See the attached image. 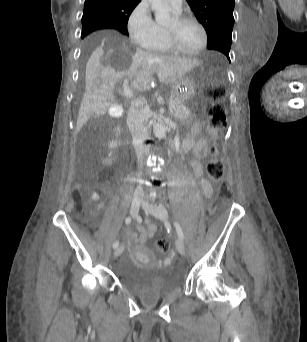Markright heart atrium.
I'll use <instances>...</instances> for the list:
<instances>
[{
  "mask_svg": "<svg viewBox=\"0 0 307 342\" xmlns=\"http://www.w3.org/2000/svg\"><path fill=\"white\" fill-rule=\"evenodd\" d=\"M127 32L130 41L139 46H148L161 38V32L154 23L150 12L138 5L127 18Z\"/></svg>",
  "mask_w": 307,
  "mask_h": 342,
  "instance_id": "1",
  "label": "right heart atrium"
}]
</instances>
